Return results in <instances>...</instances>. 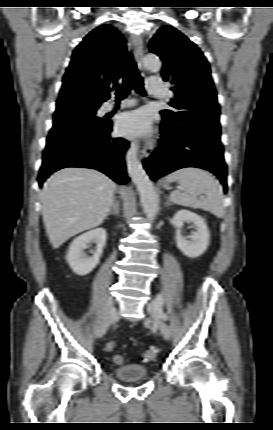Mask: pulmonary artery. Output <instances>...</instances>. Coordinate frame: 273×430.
I'll list each match as a JSON object with an SVG mask.
<instances>
[{"instance_id":"obj_1","label":"pulmonary artery","mask_w":273,"mask_h":430,"mask_svg":"<svg viewBox=\"0 0 273 430\" xmlns=\"http://www.w3.org/2000/svg\"><path fill=\"white\" fill-rule=\"evenodd\" d=\"M148 90L152 95H155V96H164L166 93L165 88H164V84L161 81V79H150L148 82ZM133 105H135V101L126 100V101H123L119 105L110 103L107 105L106 110L112 111V110L117 109V108H125V107H130Z\"/></svg>"}]
</instances>
